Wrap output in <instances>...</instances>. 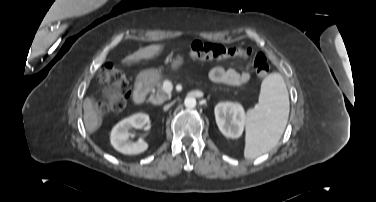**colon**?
Listing matches in <instances>:
<instances>
[{"label":"colon","instance_id":"5ec220e1","mask_svg":"<svg viewBox=\"0 0 376 202\" xmlns=\"http://www.w3.org/2000/svg\"><path fill=\"white\" fill-rule=\"evenodd\" d=\"M188 55L200 61L222 60L228 58L251 59L256 74L260 78L266 77L270 68L266 57L262 53H254L250 48L241 45L225 46L220 43L193 41L188 47ZM99 81L114 87L115 94L99 104L102 113H110L123 109L130 98L131 89L124 73L113 64L103 65L99 72Z\"/></svg>","mask_w":376,"mask_h":202}]
</instances>
